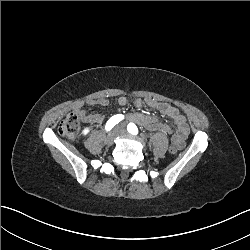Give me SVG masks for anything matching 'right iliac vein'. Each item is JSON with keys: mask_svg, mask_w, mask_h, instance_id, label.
Wrapping results in <instances>:
<instances>
[{"mask_svg": "<svg viewBox=\"0 0 250 250\" xmlns=\"http://www.w3.org/2000/svg\"><path fill=\"white\" fill-rule=\"evenodd\" d=\"M120 133L119 129H114L108 136L105 138V144L112 145L116 136Z\"/></svg>", "mask_w": 250, "mask_h": 250, "instance_id": "obj_1", "label": "right iliac vein"}]
</instances>
